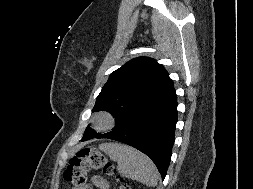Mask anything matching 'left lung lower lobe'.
<instances>
[{
	"instance_id": "left-lung-lower-lobe-1",
	"label": "left lung lower lobe",
	"mask_w": 253,
	"mask_h": 189,
	"mask_svg": "<svg viewBox=\"0 0 253 189\" xmlns=\"http://www.w3.org/2000/svg\"><path fill=\"white\" fill-rule=\"evenodd\" d=\"M177 123V97L174 87L161 99L139 111L125 123L105 134H84L82 141L93 137L129 144L150 157L162 180L170 164Z\"/></svg>"
}]
</instances>
